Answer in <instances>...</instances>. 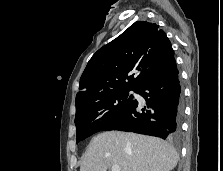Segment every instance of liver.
<instances>
[{
	"label": "liver",
	"instance_id": "obj_1",
	"mask_svg": "<svg viewBox=\"0 0 223 171\" xmlns=\"http://www.w3.org/2000/svg\"><path fill=\"white\" fill-rule=\"evenodd\" d=\"M179 155L166 141L136 133L107 131L95 136L81 162L80 171H171Z\"/></svg>",
	"mask_w": 223,
	"mask_h": 171
}]
</instances>
